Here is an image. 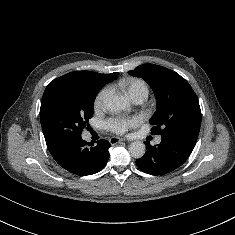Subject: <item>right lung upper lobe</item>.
I'll return each mask as SVG.
<instances>
[{
    "label": "right lung upper lobe",
    "mask_w": 235,
    "mask_h": 235,
    "mask_svg": "<svg viewBox=\"0 0 235 235\" xmlns=\"http://www.w3.org/2000/svg\"><path fill=\"white\" fill-rule=\"evenodd\" d=\"M116 76L117 73L99 74L91 71H74L53 80L47 87L58 82L87 81L102 88L106 83L112 81Z\"/></svg>",
    "instance_id": "cb5924a9"
}]
</instances>
